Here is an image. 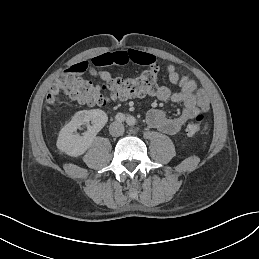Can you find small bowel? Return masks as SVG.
Segmentation results:
<instances>
[{
	"mask_svg": "<svg viewBox=\"0 0 259 259\" xmlns=\"http://www.w3.org/2000/svg\"><path fill=\"white\" fill-rule=\"evenodd\" d=\"M155 61V57L146 52L137 50L114 51L96 56L90 62L81 61L75 63L67 71L74 74L87 71L94 77L107 81L112 78L111 74L106 70H97L96 67L125 65L128 63L150 66L155 64ZM166 70L169 81L179 87V90L172 92L170 88L160 86L153 95L161 101L171 100L175 103H180L184 106V109L179 116L170 118L162 110L152 108L147 111L146 120L151 127L165 134L174 135L182 129L188 120L199 115L204 116L210 108V100L205 90L197 89L196 83L186 76H181L174 65L167 66Z\"/></svg>",
	"mask_w": 259,
	"mask_h": 259,
	"instance_id": "obj_1",
	"label": "small bowel"
}]
</instances>
